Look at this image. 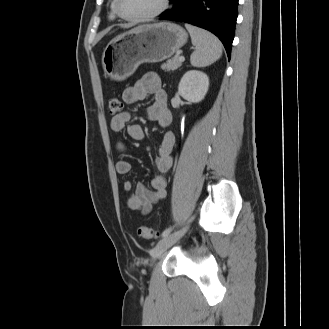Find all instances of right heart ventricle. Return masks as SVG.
<instances>
[{"label": "right heart ventricle", "instance_id": "right-heart-ventricle-1", "mask_svg": "<svg viewBox=\"0 0 329 329\" xmlns=\"http://www.w3.org/2000/svg\"><path fill=\"white\" fill-rule=\"evenodd\" d=\"M116 12H115V0H112L111 5H110V17L111 18H116Z\"/></svg>", "mask_w": 329, "mask_h": 329}]
</instances>
